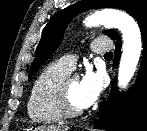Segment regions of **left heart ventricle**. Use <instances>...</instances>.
Returning <instances> with one entry per match:
<instances>
[{"mask_svg": "<svg viewBox=\"0 0 147 131\" xmlns=\"http://www.w3.org/2000/svg\"><path fill=\"white\" fill-rule=\"evenodd\" d=\"M68 96L71 104L76 108H82L79 102V79H73L68 85Z\"/></svg>", "mask_w": 147, "mask_h": 131, "instance_id": "obj_1", "label": "left heart ventricle"}]
</instances>
